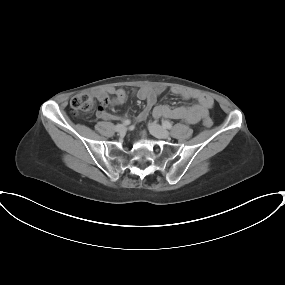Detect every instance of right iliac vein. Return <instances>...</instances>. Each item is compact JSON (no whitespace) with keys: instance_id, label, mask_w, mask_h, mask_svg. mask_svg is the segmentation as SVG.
Returning a JSON list of instances; mask_svg holds the SVG:
<instances>
[{"instance_id":"right-iliac-vein-1","label":"right iliac vein","mask_w":285,"mask_h":285,"mask_svg":"<svg viewBox=\"0 0 285 285\" xmlns=\"http://www.w3.org/2000/svg\"><path fill=\"white\" fill-rule=\"evenodd\" d=\"M116 132L123 134L126 132L127 128L125 125L119 124L115 127Z\"/></svg>"}]
</instances>
